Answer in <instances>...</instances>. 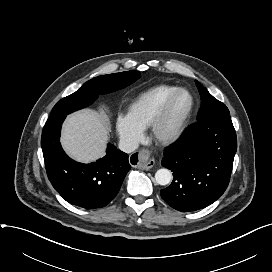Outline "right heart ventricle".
<instances>
[{
  "label": "right heart ventricle",
  "instance_id": "obj_1",
  "mask_svg": "<svg viewBox=\"0 0 272 272\" xmlns=\"http://www.w3.org/2000/svg\"><path fill=\"white\" fill-rule=\"evenodd\" d=\"M178 87L160 84L140 93L128 106L127 116L141 130L147 129L165 100Z\"/></svg>",
  "mask_w": 272,
  "mask_h": 272
}]
</instances>
